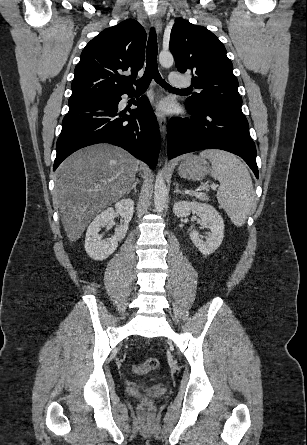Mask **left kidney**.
<instances>
[{"instance_id":"5707ae66","label":"left kidney","mask_w":307,"mask_h":445,"mask_svg":"<svg viewBox=\"0 0 307 445\" xmlns=\"http://www.w3.org/2000/svg\"><path fill=\"white\" fill-rule=\"evenodd\" d=\"M173 210L176 216H188L190 212H196L197 216L202 218L201 225L210 229L211 233H208L206 241L200 239L198 231L190 233L192 243L202 255H211L220 247L224 237V223L222 216L214 206L206 204V202H196V200L194 202L181 200V202H175Z\"/></svg>"}]
</instances>
